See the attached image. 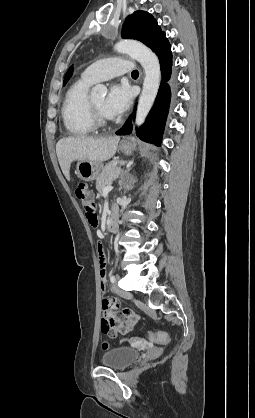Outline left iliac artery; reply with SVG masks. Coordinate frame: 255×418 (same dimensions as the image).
Returning <instances> with one entry per match:
<instances>
[{"label": "left iliac artery", "mask_w": 255, "mask_h": 418, "mask_svg": "<svg viewBox=\"0 0 255 418\" xmlns=\"http://www.w3.org/2000/svg\"><path fill=\"white\" fill-rule=\"evenodd\" d=\"M110 281H111L112 283H114V282H115V276H114V275H110Z\"/></svg>", "instance_id": "obj_1"}]
</instances>
